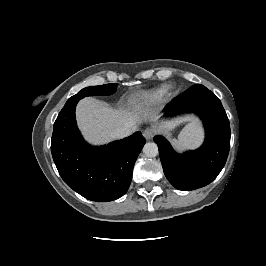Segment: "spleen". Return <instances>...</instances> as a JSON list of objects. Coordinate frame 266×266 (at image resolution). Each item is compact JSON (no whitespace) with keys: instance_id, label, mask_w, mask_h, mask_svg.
<instances>
[{"instance_id":"3e777b00","label":"spleen","mask_w":266,"mask_h":266,"mask_svg":"<svg viewBox=\"0 0 266 266\" xmlns=\"http://www.w3.org/2000/svg\"><path fill=\"white\" fill-rule=\"evenodd\" d=\"M203 141V130L200 124L190 123L178 136V139H173V146L179 150L195 149L200 146Z\"/></svg>"}]
</instances>
